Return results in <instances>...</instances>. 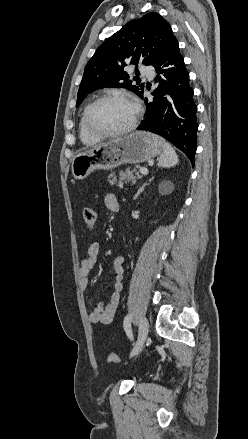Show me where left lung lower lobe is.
<instances>
[{
    "label": "left lung lower lobe",
    "instance_id": "left-lung-lower-lobe-1",
    "mask_svg": "<svg viewBox=\"0 0 248 439\" xmlns=\"http://www.w3.org/2000/svg\"><path fill=\"white\" fill-rule=\"evenodd\" d=\"M154 68L158 73L155 79L159 80V86L153 92L156 96L153 100H144L147 111L138 129L164 137L184 152L194 164L198 130L197 105L193 100L189 73L177 41Z\"/></svg>",
    "mask_w": 248,
    "mask_h": 439
}]
</instances>
